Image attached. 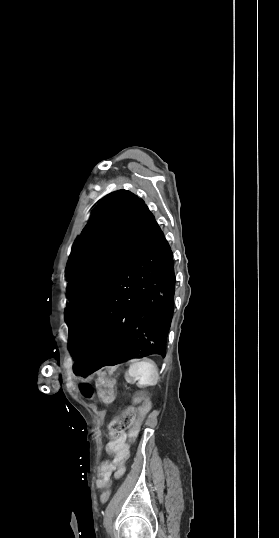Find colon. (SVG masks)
<instances>
[{
  "mask_svg": "<svg viewBox=\"0 0 279 538\" xmlns=\"http://www.w3.org/2000/svg\"><path fill=\"white\" fill-rule=\"evenodd\" d=\"M136 413L137 409L134 406H130L111 421L108 429V436L111 439V442L106 447L105 454L100 460L97 473L98 481H106L110 477L114 466L113 457L116 454L113 442L119 435L129 429L128 438L131 442L135 441L138 437L142 420L141 418L136 419ZM110 494L111 492L109 488L103 490L101 501L103 503L107 502L110 498Z\"/></svg>",
  "mask_w": 279,
  "mask_h": 538,
  "instance_id": "obj_1",
  "label": "colon"
}]
</instances>
